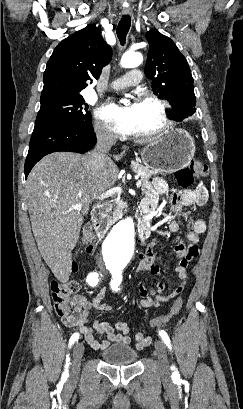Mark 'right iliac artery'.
Listing matches in <instances>:
<instances>
[{
  "mask_svg": "<svg viewBox=\"0 0 243 409\" xmlns=\"http://www.w3.org/2000/svg\"><path fill=\"white\" fill-rule=\"evenodd\" d=\"M99 277H100V275H99L98 273H96V272L90 273V274L87 276V282H88V284H89L90 286H92V287L96 286L97 283H98V281H99V279H100ZM78 338H79V333H74V334L71 336V338H70L69 346L71 347V346L78 340ZM69 361H70V358H69V355H67L66 365H65V371L63 372L62 380H66L67 377H68V375H69V374H68Z\"/></svg>",
  "mask_w": 243,
  "mask_h": 409,
  "instance_id": "1",
  "label": "right iliac artery"
}]
</instances>
